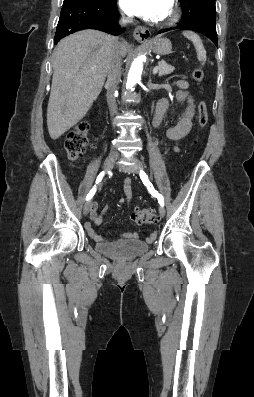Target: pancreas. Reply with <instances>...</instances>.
Masks as SVG:
<instances>
[{"instance_id":"obj_1","label":"pancreas","mask_w":254,"mask_h":397,"mask_svg":"<svg viewBox=\"0 0 254 397\" xmlns=\"http://www.w3.org/2000/svg\"><path fill=\"white\" fill-rule=\"evenodd\" d=\"M174 71V67L167 64L165 61H160L158 63V75L164 76L172 73Z\"/></svg>"}]
</instances>
